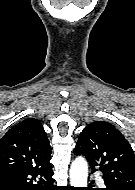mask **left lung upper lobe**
<instances>
[{"mask_svg":"<svg viewBox=\"0 0 135 190\" xmlns=\"http://www.w3.org/2000/svg\"><path fill=\"white\" fill-rule=\"evenodd\" d=\"M74 153L83 155L116 190H135V155L125 137L110 123L96 121L81 132Z\"/></svg>","mask_w":135,"mask_h":190,"instance_id":"1","label":"left lung upper lobe"}]
</instances>
